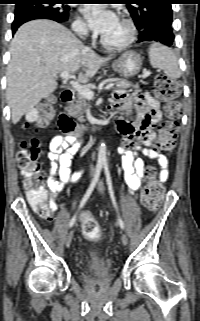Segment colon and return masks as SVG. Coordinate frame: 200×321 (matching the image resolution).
<instances>
[{
	"label": "colon",
	"mask_w": 200,
	"mask_h": 321,
	"mask_svg": "<svg viewBox=\"0 0 200 321\" xmlns=\"http://www.w3.org/2000/svg\"><path fill=\"white\" fill-rule=\"evenodd\" d=\"M179 92L180 87L176 80L165 74L156 76L154 93L157 98L164 101L167 115V119L159 126L157 138V148L164 153L171 152L176 144L180 116V104L177 101ZM54 106L55 99L47 98L36 111L30 114L28 124H31L34 130L46 126L54 116ZM40 157V140L37 137H31L21 143L16 154V162L32 208L41 217L50 218L52 211L45 201L46 191L39 184ZM148 174L150 179L141 193V204L146 210L153 212L158 209L162 202L164 187L153 169H149ZM82 232L87 239L93 241L98 240L101 235L97 221L89 214H83L82 216Z\"/></svg>",
	"instance_id": "obj_1"
}]
</instances>
